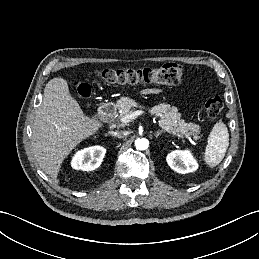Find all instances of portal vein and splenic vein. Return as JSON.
<instances>
[{
	"mask_svg": "<svg viewBox=\"0 0 259 259\" xmlns=\"http://www.w3.org/2000/svg\"><path fill=\"white\" fill-rule=\"evenodd\" d=\"M144 112L142 110H137V111H134L130 114H127L125 116H123L120 121L122 123H128L130 121H132L133 119L137 118L139 115L143 114Z\"/></svg>",
	"mask_w": 259,
	"mask_h": 259,
	"instance_id": "1",
	"label": "portal vein and splenic vein"
}]
</instances>
